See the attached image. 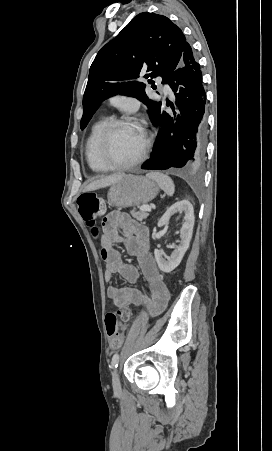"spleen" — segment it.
<instances>
[{
	"label": "spleen",
	"mask_w": 272,
	"mask_h": 451,
	"mask_svg": "<svg viewBox=\"0 0 272 451\" xmlns=\"http://www.w3.org/2000/svg\"><path fill=\"white\" fill-rule=\"evenodd\" d=\"M146 178L157 182L159 188H161V190H164L167 196H173L175 192V186L169 176H165V174H159V172H150V174H146Z\"/></svg>",
	"instance_id": "3e777b00"
}]
</instances>
